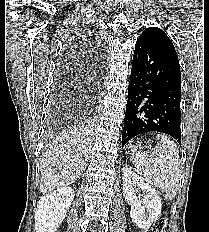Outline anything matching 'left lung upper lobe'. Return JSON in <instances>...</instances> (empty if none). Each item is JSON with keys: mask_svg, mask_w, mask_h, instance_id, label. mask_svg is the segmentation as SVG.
I'll use <instances>...</instances> for the list:
<instances>
[{"mask_svg": "<svg viewBox=\"0 0 209 232\" xmlns=\"http://www.w3.org/2000/svg\"><path fill=\"white\" fill-rule=\"evenodd\" d=\"M138 40L155 44L165 51L174 54L178 58L174 45L172 44L169 37L163 30L157 27H149L145 29Z\"/></svg>", "mask_w": 209, "mask_h": 232, "instance_id": "obj_1", "label": "left lung upper lobe"}]
</instances>
